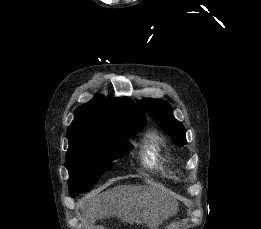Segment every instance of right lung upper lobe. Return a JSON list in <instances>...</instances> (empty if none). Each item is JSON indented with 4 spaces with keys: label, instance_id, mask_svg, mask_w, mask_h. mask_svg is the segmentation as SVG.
<instances>
[{
    "label": "right lung upper lobe",
    "instance_id": "right-lung-upper-lobe-1",
    "mask_svg": "<svg viewBox=\"0 0 261 229\" xmlns=\"http://www.w3.org/2000/svg\"><path fill=\"white\" fill-rule=\"evenodd\" d=\"M145 123L144 113L130 98L105 99L97 95L76 109L75 118L67 129L69 146L84 142H119L113 128Z\"/></svg>",
    "mask_w": 261,
    "mask_h": 229
}]
</instances>
